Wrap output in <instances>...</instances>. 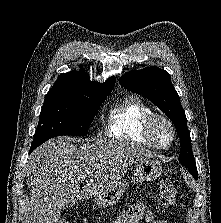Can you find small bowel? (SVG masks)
Listing matches in <instances>:
<instances>
[{
	"mask_svg": "<svg viewBox=\"0 0 221 223\" xmlns=\"http://www.w3.org/2000/svg\"><path fill=\"white\" fill-rule=\"evenodd\" d=\"M145 221L146 223H168L163 219L157 218L151 209L144 203H136L128 210L122 212L116 223H139Z\"/></svg>",
	"mask_w": 221,
	"mask_h": 223,
	"instance_id": "c3829d8e",
	"label": "small bowel"
}]
</instances>
